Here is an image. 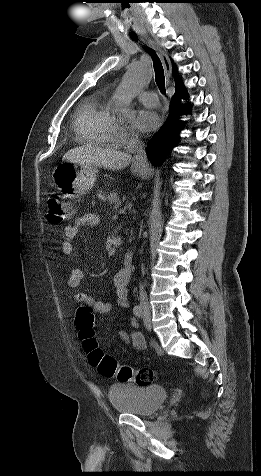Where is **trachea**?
Listing matches in <instances>:
<instances>
[{
  "instance_id": "1",
  "label": "trachea",
  "mask_w": 261,
  "mask_h": 476,
  "mask_svg": "<svg viewBox=\"0 0 261 476\" xmlns=\"http://www.w3.org/2000/svg\"><path fill=\"white\" fill-rule=\"evenodd\" d=\"M132 39L134 41H138V38L136 36H132ZM146 50L151 55L153 60L156 84L158 85L161 93L164 94L165 93V76H164V69L162 66V62L153 49L148 48Z\"/></svg>"
}]
</instances>
